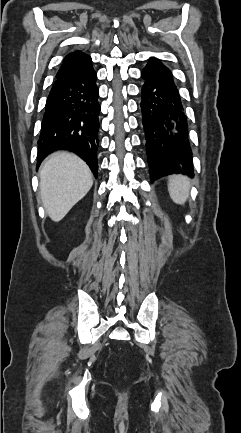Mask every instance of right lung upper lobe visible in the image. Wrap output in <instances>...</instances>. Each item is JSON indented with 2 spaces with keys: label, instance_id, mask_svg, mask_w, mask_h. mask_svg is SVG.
Listing matches in <instances>:
<instances>
[{
  "label": "right lung upper lobe",
  "instance_id": "1",
  "mask_svg": "<svg viewBox=\"0 0 241 433\" xmlns=\"http://www.w3.org/2000/svg\"><path fill=\"white\" fill-rule=\"evenodd\" d=\"M89 62H91V57L86 55L85 53H82L81 51L72 52L68 54L63 60V63L58 73L56 74V78L65 76L68 73Z\"/></svg>",
  "mask_w": 241,
  "mask_h": 433
}]
</instances>
